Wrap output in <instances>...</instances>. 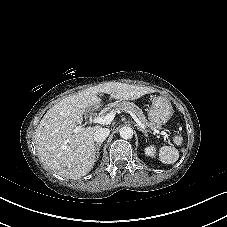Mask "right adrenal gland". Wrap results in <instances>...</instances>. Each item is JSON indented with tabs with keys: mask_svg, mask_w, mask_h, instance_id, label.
<instances>
[{
	"mask_svg": "<svg viewBox=\"0 0 227 227\" xmlns=\"http://www.w3.org/2000/svg\"><path fill=\"white\" fill-rule=\"evenodd\" d=\"M101 145H102V143H97V144L95 145V155H96L95 159H98V158H99V155H100L99 150H100V146H101Z\"/></svg>",
	"mask_w": 227,
	"mask_h": 227,
	"instance_id": "1",
	"label": "right adrenal gland"
}]
</instances>
